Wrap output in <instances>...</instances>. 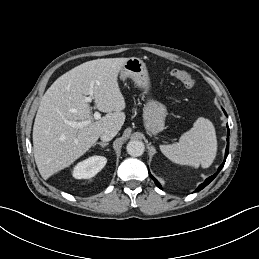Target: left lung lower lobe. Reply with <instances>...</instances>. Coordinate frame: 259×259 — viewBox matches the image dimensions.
<instances>
[{
    "instance_id": "1",
    "label": "left lung lower lobe",
    "mask_w": 259,
    "mask_h": 259,
    "mask_svg": "<svg viewBox=\"0 0 259 259\" xmlns=\"http://www.w3.org/2000/svg\"><path fill=\"white\" fill-rule=\"evenodd\" d=\"M226 114V113H225ZM227 128H228V134H227V148H226V152H225V158H227V155H228V151H229V127H228V124H227ZM225 161L222 163V165L218 168V172H220V170L222 169V167L224 166L225 164ZM218 172L212 176H210L209 178H207L205 180L204 183L200 184L199 187L196 189V191H200L202 190L204 187H206L218 174ZM150 177L154 180V182L156 183V185L161 189V185L160 183L149 173Z\"/></svg>"
}]
</instances>
